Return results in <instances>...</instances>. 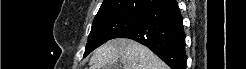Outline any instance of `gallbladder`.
I'll list each match as a JSON object with an SVG mask.
<instances>
[{
	"instance_id": "bac80fb5",
	"label": "gallbladder",
	"mask_w": 246,
	"mask_h": 69,
	"mask_svg": "<svg viewBox=\"0 0 246 69\" xmlns=\"http://www.w3.org/2000/svg\"><path fill=\"white\" fill-rule=\"evenodd\" d=\"M122 67H121V65L120 64H116V65H114L113 67H112V69H121Z\"/></svg>"
}]
</instances>
